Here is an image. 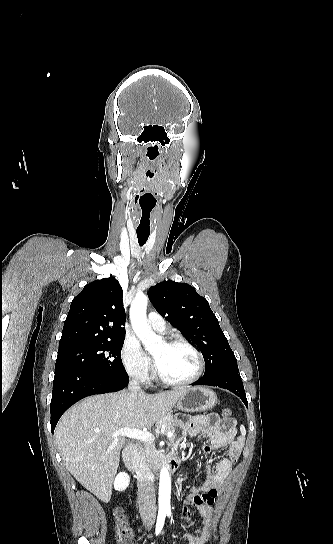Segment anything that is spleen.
Segmentation results:
<instances>
[{"mask_svg":"<svg viewBox=\"0 0 333 544\" xmlns=\"http://www.w3.org/2000/svg\"><path fill=\"white\" fill-rule=\"evenodd\" d=\"M240 431H241L242 436H245L246 430H245L244 425H241V426H240Z\"/></svg>","mask_w":333,"mask_h":544,"instance_id":"spleen-1","label":"spleen"}]
</instances>
